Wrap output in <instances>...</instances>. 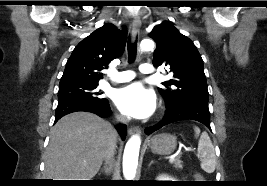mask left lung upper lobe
<instances>
[{"label": "left lung upper lobe", "mask_w": 267, "mask_h": 186, "mask_svg": "<svg viewBox=\"0 0 267 186\" xmlns=\"http://www.w3.org/2000/svg\"><path fill=\"white\" fill-rule=\"evenodd\" d=\"M149 36L156 42L153 64L165 65L173 78L162 84L159 91L166 109L186 104L208 106L209 93L203 60L194 43L182 35L170 21L154 27Z\"/></svg>", "instance_id": "obj_1"}]
</instances>
